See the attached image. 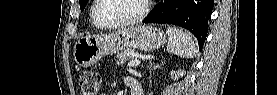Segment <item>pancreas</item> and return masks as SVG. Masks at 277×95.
Here are the masks:
<instances>
[{
    "label": "pancreas",
    "instance_id": "pancreas-1",
    "mask_svg": "<svg viewBox=\"0 0 277 95\" xmlns=\"http://www.w3.org/2000/svg\"><path fill=\"white\" fill-rule=\"evenodd\" d=\"M135 55H137V52L131 49L121 51L116 55V59H117L116 63L119 64V63L130 61L135 58Z\"/></svg>",
    "mask_w": 277,
    "mask_h": 95
}]
</instances>
